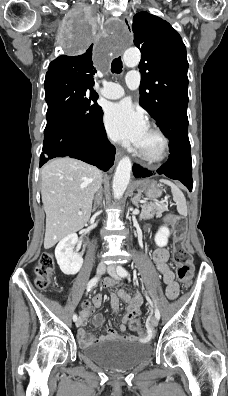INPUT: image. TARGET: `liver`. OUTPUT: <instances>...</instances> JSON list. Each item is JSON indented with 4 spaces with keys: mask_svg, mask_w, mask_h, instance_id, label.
Wrapping results in <instances>:
<instances>
[{
    "mask_svg": "<svg viewBox=\"0 0 228 396\" xmlns=\"http://www.w3.org/2000/svg\"><path fill=\"white\" fill-rule=\"evenodd\" d=\"M41 197L46 213L44 248L81 230L89 221L94 194L101 187V171L72 158H58L42 171ZM81 211L82 215H78Z\"/></svg>",
    "mask_w": 228,
    "mask_h": 396,
    "instance_id": "obj_1",
    "label": "liver"
}]
</instances>
